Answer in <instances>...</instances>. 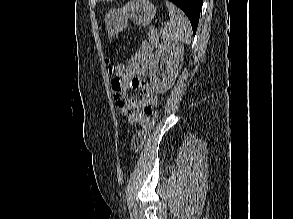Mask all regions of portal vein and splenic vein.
Masks as SVG:
<instances>
[{"label": "portal vein and splenic vein", "instance_id": "portal-vein-and-splenic-vein-1", "mask_svg": "<svg viewBox=\"0 0 293 219\" xmlns=\"http://www.w3.org/2000/svg\"><path fill=\"white\" fill-rule=\"evenodd\" d=\"M150 29L154 30V27H150Z\"/></svg>", "mask_w": 293, "mask_h": 219}]
</instances>
